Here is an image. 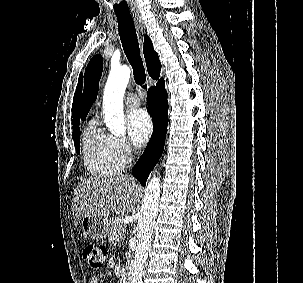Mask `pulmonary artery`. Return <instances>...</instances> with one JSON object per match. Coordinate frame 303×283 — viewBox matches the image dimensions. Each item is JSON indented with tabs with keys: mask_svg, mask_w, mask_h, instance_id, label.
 <instances>
[{
	"mask_svg": "<svg viewBox=\"0 0 303 283\" xmlns=\"http://www.w3.org/2000/svg\"><path fill=\"white\" fill-rule=\"evenodd\" d=\"M125 104L130 108H135L140 105V100L137 95L129 94L125 98Z\"/></svg>",
	"mask_w": 303,
	"mask_h": 283,
	"instance_id": "1",
	"label": "pulmonary artery"
}]
</instances>
